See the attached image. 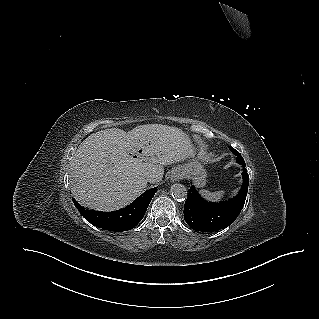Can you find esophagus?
I'll list each match as a JSON object with an SVG mask.
<instances>
[{
    "mask_svg": "<svg viewBox=\"0 0 319 319\" xmlns=\"http://www.w3.org/2000/svg\"><path fill=\"white\" fill-rule=\"evenodd\" d=\"M172 181H178L179 180V176L178 175H174L171 177Z\"/></svg>",
    "mask_w": 319,
    "mask_h": 319,
    "instance_id": "esophagus-1",
    "label": "esophagus"
}]
</instances>
